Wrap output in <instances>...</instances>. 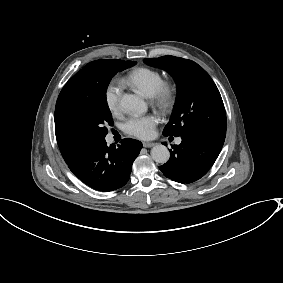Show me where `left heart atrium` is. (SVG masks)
Masks as SVG:
<instances>
[{
    "label": "left heart atrium",
    "instance_id": "obj_1",
    "mask_svg": "<svg viewBox=\"0 0 283 283\" xmlns=\"http://www.w3.org/2000/svg\"><path fill=\"white\" fill-rule=\"evenodd\" d=\"M158 122L159 116L157 114H131L125 121L123 128L129 134L148 138L154 135V127Z\"/></svg>",
    "mask_w": 283,
    "mask_h": 283
}]
</instances>
